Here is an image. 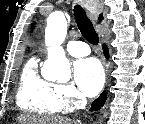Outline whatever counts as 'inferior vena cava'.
<instances>
[{
  "instance_id": "inferior-vena-cava-1",
  "label": "inferior vena cava",
  "mask_w": 145,
  "mask_h": 124,
  "mask_svg": "<svg viewBox=\"0 0 145 124\" xmlns=\"http://www.w3.org/2000/svg\"><path fill=\"white\" fill-rule=\"evenodd\" d=\"M86 104V100L84 99L83 101H82V105H85Z\"/></svg>"
}]
</instances>
